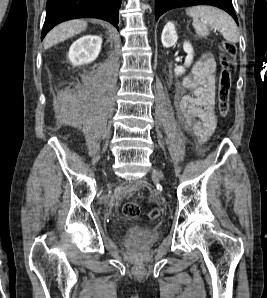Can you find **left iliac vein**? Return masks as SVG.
I'll list each match as a JSON object with an SVG mask.
<instances>
[{"instance_id":"left-iliac-vein-1","label":"left iliac vein","mask_w":267,"mask_h":298,"mask_svg":"<svg viewBox=\"0 0 267 298\" xmlns=\"http://www.w3.org/2000/svg\"><path fill=\"white\" fill-rule=\"evenodd\" d=\"M152 174L156 178H159V179H163L164 178L163 173L161 171L155 169V168L152 170Z\"/></svg>"}]
</instances>
